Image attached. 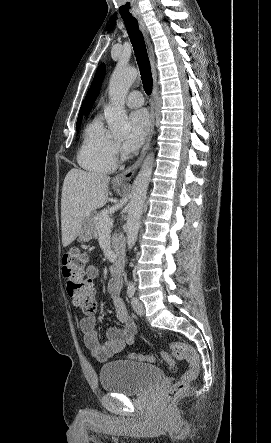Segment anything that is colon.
<instances>
[{
    "instance_id": "obj_1",
    "label": "colon",
    "mask_w": 271,
    "mask_h": 443,
    "mask_svg": "<svg viewBox=\"0 0 271 443\" xmlns=\"http://www.w3.org/2000/svg\"><path fill=\"white\" fill-rule=\"evenodd\" d=\"M87 262L88 255L85 251L72 249L62 258V270L67 279L68 295L84 313L92 315L96 311L95 288L91 279L85 275ZM170 349L175 359L188 362V369L177 382L165 391L163 400L166 404H172L186 391L189 383L197 377L200 369L199 356L191 346L183 342H173ZM160 357L169 366L173 365V358L167 352H161ZM129 358L154 361V357L150 355L131 354Z\"/></svg>"
}]
</instances>
